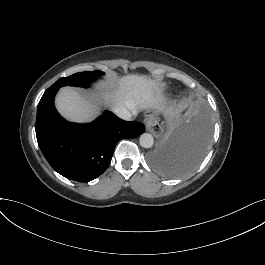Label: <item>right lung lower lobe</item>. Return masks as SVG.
<instances>
[{
  "mask_svg": "<svg viewBox=\"0 0 265 265\" xmlns=\"http://www.w3.org/2000/svg\"><path fill=\"white\" fill-rule=\"evenodd\" d=\"M58 89H47L39 101L35 127L38 145L59 174L71 180L89 182L107 169L116 143L138 137L145 126L124 121L108 111L89 124L69 123L54 106Z\"/></svg>",
  "mask_w": 265,
  "mask_h": 265,
  "instance_id": "98d812e1",
  "label": "right lung lower lobe"
}]
</instances>
